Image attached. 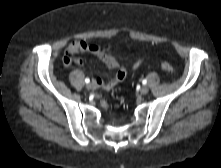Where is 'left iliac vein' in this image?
<instances>
[{"mask_svg":"<svg viewBox=\"0 0 221 168\" xmlns=\"http://www.w3.org/2000/svg\"><path fill=\"white\" fill-rule=\"evenodd\" d=\"M149 92V88H148V86H142V88L140 89V93L142 94V95H146L147 93Z\"/></svg>","mask_w":221,"mask_h":168,"instance_id":"1","label":"left iliac vein"}]
</instances>
